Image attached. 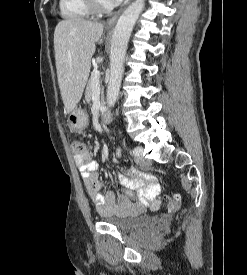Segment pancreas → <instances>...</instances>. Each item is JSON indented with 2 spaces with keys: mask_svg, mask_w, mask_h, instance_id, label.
Here are the masks:
<instances>
[{
  "mask_svg": "<svg viewBox=\"0 0 247 275\" xmlns=\"http://www.w3.org/2000/svg\"><path fill=\"white\" fill-rule=\"evenodd\" d=\"M94 84V80L91 77L88 81L87 87H86V91H85V99L87 102H90L92 99V87ZM101 98H103V87H101Z\"/></svg>",
  "mask_w": 247,
  "mask_h": 275,
  "instance_id": "obj_1",
  "label": "pancreas"
}]
</instances>
